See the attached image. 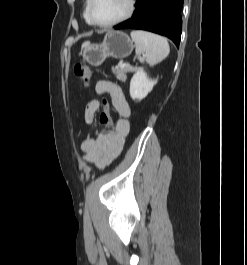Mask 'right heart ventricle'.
Segmentation results:
<instances>
[{
  "label": "right heart ventricle",
  "instance_id": "right-heart-ventricle-1",
  "mask_svg": "<svg viewBox=\"0 0 247 265\" xmlns=\"http://www.w3.org/2000/svg\"><path fill=\"white\" fill-rule=\"evenodd\" d=\"M87 6H88V0H86V3H85L84 18L88 24H91L87 16Z\"/></svg>",
  "mask_w": 247,
  "mask_h": 265
}]
</instances>
